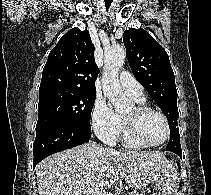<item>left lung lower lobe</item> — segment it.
<instances>
[{"label":"left lung lower lobe","instance_id":"0a47b994","mask_svg":"<svg viewBox=\"0 0 211 195\" xmlns=\"http://www.w3.org/2000/svg\"><path fill=\"white\" fill-rule=\"evenodd\" d=\"M174 153H176L179 157L182 158V151L181 150H175Z\"/></svg>","mask_w":211,"mask_h":195}]
</instances>
